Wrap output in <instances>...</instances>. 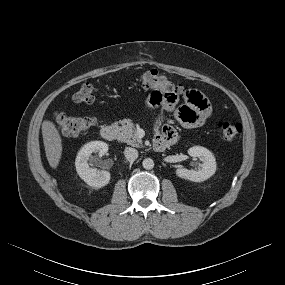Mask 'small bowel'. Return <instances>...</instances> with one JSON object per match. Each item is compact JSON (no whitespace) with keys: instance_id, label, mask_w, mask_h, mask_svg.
Returning a JSON list of instances; mask_svg holds the SVG:
<instances>
[{"instance_id":"1","label":"small bowel","mask_w":285,"mask_h":285,"mask_svg":"<svg viewBox=\"0 0 285 285\" xmlns=\"http://www.w3.org/2000/svg\"><path fill=\"white\" fill-rule=\"evenodd\" d=\"M147 104L152 109L173 113L175 119L183 127L189 129L204 125L212 115L209 100L195 89L187 90L184 98L180 93L170 92L167 89L152 90L147 95ZM176 137V130L170 125L161 124L158 119L155 138H164L171 144L176 140Z\"/></svg>"}]
</instances>
